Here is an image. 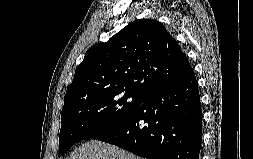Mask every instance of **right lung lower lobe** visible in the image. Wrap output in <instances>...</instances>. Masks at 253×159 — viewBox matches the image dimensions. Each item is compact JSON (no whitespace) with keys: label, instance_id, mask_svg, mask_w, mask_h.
Wrapping results in <instances>:
<instances>
[{"label":"right lung lower lobe","instance_id":"obj_1","mask_svg":"<svg viewBox=\"0 0 253 159\" xmlns=\"http://www.w3.org/2000/svg\"><path fill=\"white\" fill-rule=\"evenodd\" d=\"M202 110L195 73L153 89L123 122L93 138L148 159H199Z\"/></svg>","mask_w":253,"mask_h":159}]
</instances>
